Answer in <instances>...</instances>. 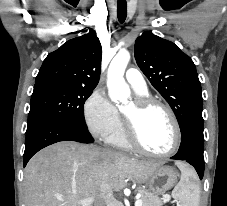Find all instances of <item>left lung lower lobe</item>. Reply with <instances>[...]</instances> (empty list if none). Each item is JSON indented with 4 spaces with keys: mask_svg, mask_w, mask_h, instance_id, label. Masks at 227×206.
I'll return each instance as SVG.
<instances>
[{
    "mask_svg": "<svg viewBox=\"0 0 227 206\" xmlns=\"http://www.w3.org/2000/svg\"><path fill=\"white\" fill-rule=\"evenodd\" d=\"M203 147V130L191 128L182 135L180 148L171 159L187 161L196 169L200 179H202L204 173Z\"/></svg>",
    "mask_w": 227,
    "mask_h": 206,
    "instance_id": "obj_1",
    "label": "left lung lower lobe"
}]
</instances>
